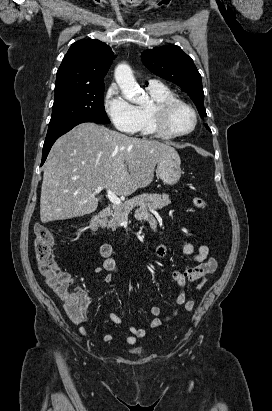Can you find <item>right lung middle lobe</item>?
I'll return each instance as SVG.
<instances>
[{"label": "right lung middle lobe", "mask_w": 272, "mask_h": 411, "mask_svg": "<svg viewBox=\"0 0 272 411\" xmlns=\"http://www.w3.org/2000/svg\"><path fill=\"white\" fill-rule=\"evenodd\" d=\"M103 94L104 84L55 92L47 136L79 122L110 123Z\"/></svg>", "instance_id": "obj_1"}]
</instances>
